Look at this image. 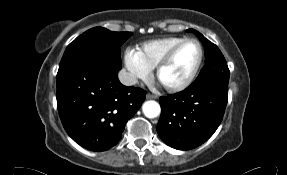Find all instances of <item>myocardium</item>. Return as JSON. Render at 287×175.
Here are the masks:
<instances>
[{
	"label": "myocardium",
	"mask_w": 287,
	"mask_h": 175,
	"mask_svg": "<svg viewBox=\"0 0 287 175\" xmlns=\"http://www.w3.org/2000/svg\"><path fill=\"white\" fill-rule=\"evenodd\" d=\"M194 42L198 45L199 48V58L198 61L194 67V69L192 70V72L190 73V75L182 82L178 83V84H173V85H169V84H165L161 81V73L162 71L171 63V61L173 60V58L175 57V55L177 54V52L187 43H191ZM203 59H204V49L202 44L194 38H188V39H184L183 41H181L180 43L176 44L174 47H172L168 53L163 57V59L158 63V65L156 66V78L159 81V83L163 86L164 89H166L169 92L172 93H176V92H180L185 90L186 88H188L196 79L200 68L202 66L203 63Z\"/></svg>",
	"instance_id": "1"
}]
</instances>
